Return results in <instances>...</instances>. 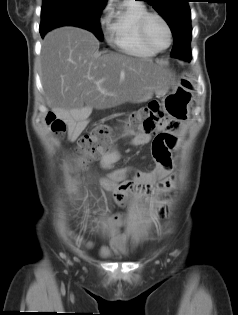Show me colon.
Here are the masks:
<instances>
[{
    "instance_id": "5ec220e1",
    "label": "colon",
    "mask_w": 238,
    "mask_h": 315,
    "mask_svg": "<svg viewBox=\"0 0 238 315\" xmlns=\"http://www.w3.org/2000/svg\"><path fill=\"white\" fill-rule=\"evenodd\" d=\"M164 119L157 101L147 107L129 114L123 121V134L135 137L150 134L163 125ZM47 124L54 134L61 135L66 131V124L55 115L47 117ZM113 141V129L106 124H96L93 129L78 141L77 151L83 165L88 164L98 154L107 150Z\"/></svg>"
}]
</instances>
